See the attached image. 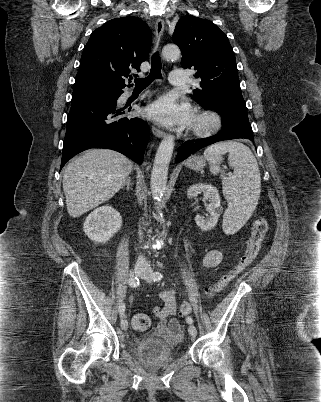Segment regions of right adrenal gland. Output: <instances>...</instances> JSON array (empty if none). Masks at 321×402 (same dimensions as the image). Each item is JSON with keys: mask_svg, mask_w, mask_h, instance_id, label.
Masks as SVG:
<instances>
[{"mask_svg": "<svg viewBox=\"0 0 321 402\" xmlns=\"http://www.w3.org/2000/svg\"><path fill=\"white\" fill-rule=\"evenodd\" d=\"M130 185H131V177H128L125 181V183L122 185V188L126 186L127 190H130Z\"/></svg>", "mask_w": 321, "mask_h": 402, "instance_id": "1", "label": "right adrenal gland"}]
</instances>
